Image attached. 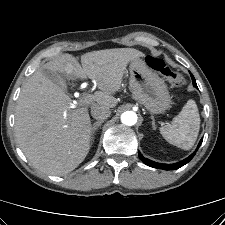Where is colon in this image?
Segmentation results:
<instances>
[{"instance_id":"colon-1","label":"colon","mask_w":225,"mask_h":225,"mask_svg":"<svg viewBox=\"0 0 225 225\" xmlns=\"http://www.w3.org/2000/svg\"><path fill=\"white\" fill-rule=\"evenodd\" d=\"M146 61L148 66L152 70L160 73L172 87L182 88L184 86L185 79L182 74L167 66L162 59L148 56Z\"/></svg>"}]
</instances>
